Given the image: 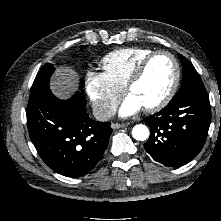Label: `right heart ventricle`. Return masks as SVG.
<instances>
[{"label":"right heart ventricle","instance_id":"1","mask_svg":"<svg viewBox=\"0 0 221 221\" xmlns=\"http://www.w3.org/2000/svg\"><path fill=\"white\" fill-rule=\"evenodd\" d=\"M153 51L146 47L116 49L102 58L101 66L104 73L124 89L139 62Z\"/></svg>","mask_w":221,"mask_h":221}]
</instances>
